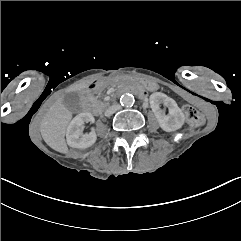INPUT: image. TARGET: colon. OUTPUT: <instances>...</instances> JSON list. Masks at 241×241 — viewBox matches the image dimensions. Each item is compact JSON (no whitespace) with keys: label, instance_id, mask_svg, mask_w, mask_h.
<instances>
[{"label":"colon","instance_id":"colon-1","mask_svg":"<svg viewBox=\"0 0 241 241\" xmlns=\"http://www.w3.org/2000/svg\"><path fill=\"white\" fill-rule=\"evenodd\" d=\"M183 112L185 114L186 119L189 121L191 125L198 126L202 123V117L199 115V112L193 105H184Z\"/></svg>","mask_w":241,"mask_h":241}]
</instances>
